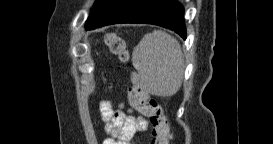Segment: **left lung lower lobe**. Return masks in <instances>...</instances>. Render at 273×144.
I'll list each match as a JSON object with an SVG mask.
<instances>
[{
	"label": "left lung lower lobe",
	"instance_id": "0a47b994",
	"mask_svg": "<svg viewBox=\"0 0 273 144\" xmlns=\"http://www.w3.org/2000/svg\"><path fill=\"white\" fill-rule=\"evenodd\" d=\"M115 23L155 24L186 39L184 8L176 0H97L86 29Z\"/></svg>",
	"mask_w": 273,
	"mask_h": 144
}]
</instances>
